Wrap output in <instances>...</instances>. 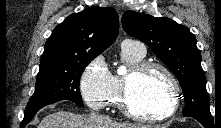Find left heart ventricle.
<instances>
[{
    "label": "left heart ventricle",
    "mask_w": 221,
    "mask_h": 128,
    "mask_svg": "<svg viewBox=\"0 0 221 128\" xmlns=\"http://www.w3.org/2000/svg\"><path fill=\"white\" fill-rule=\"evenodd\" d=\"M170 94L167 78L155 69L132 81L129 102L136 112L158 114L168 108Z\"/></svg>",
    "instance_id": "b2bd125f"
}]
</instances>
